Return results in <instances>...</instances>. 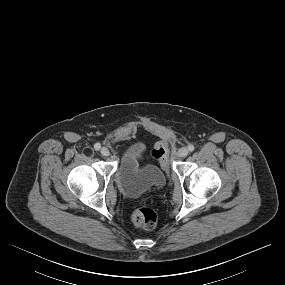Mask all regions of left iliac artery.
I'll return each instance as SVG.
<instances>
[{
    "mask_svg": "<svg viewBox=\"0 0 285 285\" xmlns=\"http://www.w3.org/2000/svg\"><path fill=\"white\" fill-rule=\"evenodd\" d=\"M194 149H195V147H194L193 145H189V146H188V150H189L190 152L194 151Z\"/></svg>",
    "mask_w": 285,
    "mask_h": 285,
    "instance_id": "obj_1",
    "label": "left iliac artery"
}]
</instances>
